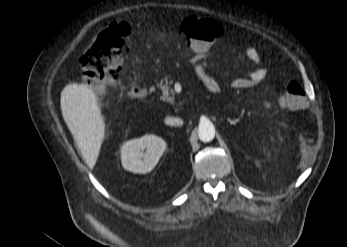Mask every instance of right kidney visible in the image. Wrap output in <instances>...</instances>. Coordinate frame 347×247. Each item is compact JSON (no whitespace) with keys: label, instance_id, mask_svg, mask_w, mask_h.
<instances>
[{"label":"right kidney","instance_id":"obj_1","mask_svg":"<svg viewBox=\"0 0 347 247\" xmlns=\"http://www.w3.org/2000/svg\"><path fill=\"white\" fill-rule=\"evenodd\" d=\"M166 149L165 141L156 135H144L121 147V161L125 170L146 174L153 170Z\"/></svg>","mask_w":347,"mask_h":247}]
</instances>
